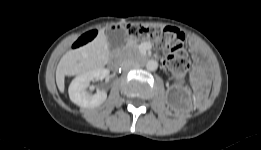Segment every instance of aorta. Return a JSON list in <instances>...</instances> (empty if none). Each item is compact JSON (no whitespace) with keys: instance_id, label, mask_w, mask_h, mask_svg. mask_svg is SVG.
I'll return each instance as SVG.
<instances>
[{"instance_id":"obj_1","label":"aorta","mask_w":261,"mask_h":150,"mask_svg":"<svg viewBox=\"0 0 261 150\" xmlns=\"http://www.w3.org/2000/svg\"><path fill=\"white\" fill-rule=\"evenodd\" d=\"M158 68V62L156 60H149L146 63V69L149 71H155Z\"/></svg>"}]
</instances>
